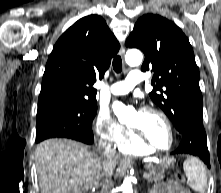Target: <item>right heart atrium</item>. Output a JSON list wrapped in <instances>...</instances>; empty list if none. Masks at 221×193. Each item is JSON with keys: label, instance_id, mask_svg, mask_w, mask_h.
<instances>
[{"label": "right heart atrium", "instance_id": "right-heart-atrium-1", "mask_svg": "<svg viewBox=\"0 0 221 193\" xmlns=\"http://www.w3.org/2000/svg\"><path fill=\"white\" fill-rule=\"evenodd\" d=\"M94 130L98 139L108 145H117L127 135L126 128L115 120L109 112L104 110L98 112Z\"/></svg>", "mask_w": 221, "mask_h": 193}]
</instances>
